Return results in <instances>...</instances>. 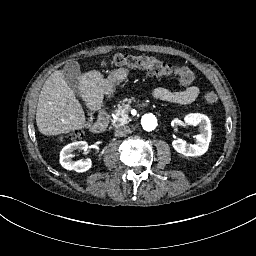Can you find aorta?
Segmentation results:
<instances>
[{"label":"aorta","instance_id":"obj_1","mask_svg":"<svg viewBox=\"0 0 256 256\" xmlns=\"http://www.w3.org/2000/svg\"><path fill=\"white\" fill-rule=\"evenodd\" d=\"M141 127L145 131H152L156 127V117L152 113H145L141 117Z\"/></svg>","mask_w":256,"mask_h":256}]
</instances>
